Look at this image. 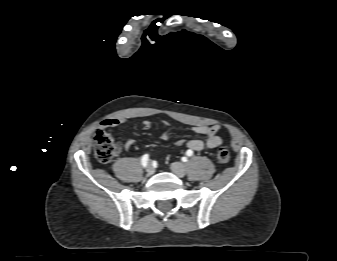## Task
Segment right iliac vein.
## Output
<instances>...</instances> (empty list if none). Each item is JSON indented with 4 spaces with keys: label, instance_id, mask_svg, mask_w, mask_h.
<instances>
[{
    "label": "right iliac vein",
    "instance_id": "right-iliac-vein-1",
    "mask_svg": "<svg viewBox=\"0 0 337 261\" xmlns=\"http://www.w3.org/2000/svg\"><path fill=\"white\" fill-rule=\"evenodd\" d=\"M146 171H147V175L150 176L154 173V168L151 164H149L146 168Z\"/></svg>",
    "mask_w": 337,
    "mask_h": 261
}]
</instances>
